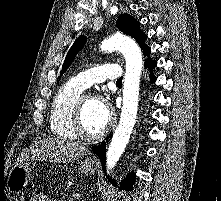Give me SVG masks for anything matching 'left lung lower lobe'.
I'll return each instance as SVG.
<instances>
[{
  "label": "left lung lower lobe",
  "mask_w": 221,
  "mask_h": 201,
  "mask_svg": "<svg viewBox=\"0 0 221 201\" xmlns=\"http://www.w3.org/2000/svg\"><path fill=\"white\" fill-rule=\"evenodd\" d=\"M157 62L152 60L151 58L146 61L145 66L149 68L150 70V81L151 83H154L156 81V77L153 75V69L156 67ZM94 153L97 154L99 157L103 168L105 170V156H106V143L102 142L101 145L95 146L92 148ZM134 174L130 173L126 176L125 180L121 183L120 189L121 190H132V185L134 182ZM111 183L116 186V182L113 181L111 178H109Z\"/></svg>",
  "instance_id": "left-lung-lower-lobe-1"
}]
</instances>
